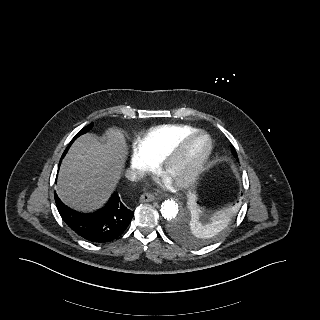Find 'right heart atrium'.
I'll return each instance as SVG.
<instances>
[{"mask_svg": "<svg viewBox=\"0 0 320 320\" xmlns=\"http://www.w3.org/2000/svg\"><path fill=\"white\" fill-rule=\"evenodd\" d=\"M129 164L133 170L140 174L149 172L155 168V162L141 153L137 147L130 156Z\"/></svg>", "mask_w": 320, "mask_h": 320, "instance_id": "1", "label": "right heart atrium"}]
</instances>
